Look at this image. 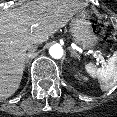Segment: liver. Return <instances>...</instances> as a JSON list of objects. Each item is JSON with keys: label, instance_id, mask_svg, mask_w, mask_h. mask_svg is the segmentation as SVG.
Returning <instances> with one entry per match:
<instances>
[{"label": "liver", "instance_id": "6515ba94", "mask_svg": "<svg viewBox=\"0 0 117 117\" xmlns=\"http://www.w3.org/2000/svg\"><path fill=\"white\" fill-rule=\"evenodd\" d=\"M84 7L71 0H47L0 12V97H10L18 89L26 51L46 42ZM33 25L38 26L30 33Z\"/></svg>", "mask_w": 117, "mask_h": 117}]
</instances>
